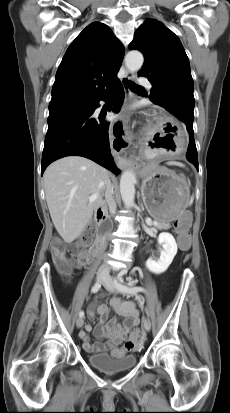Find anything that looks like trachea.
I'll return each instance as SVG.
<instances>
[{
	"instance_id": "trachea-1",
	"label": "trachea",
	"mask_w": 230,
	"mask_h": 413,
	"mask_svg": "<svg viewBox=\"0 0 230 413\" xmlns=\"http://www.w3.org/2000/svg\"><path fill=\"white\" fill-rule=\"evenodd\" d=\"M128 86L131 90L142 89L141 86H139V85H137V84H135L134 82H131V81L128 83Z\"/></svg>"
}]
</instances>
